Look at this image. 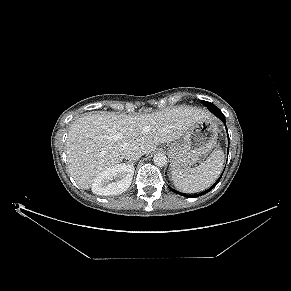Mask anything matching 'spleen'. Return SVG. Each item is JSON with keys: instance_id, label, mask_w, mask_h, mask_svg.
Returning <instances> with one entry per match:
<instances>
[{"instance_id": "spleen-1", "label": "spleen", "mask_w": 291, "mask_h": 291, "mask_svg": "<svg viewBox=\"0 0 291 291\" xmlns=\"http://www.w3.org/2000/svg\"><path fill=\"white\" fill-rule=\"evenodd\" d=\"M224 152L214 150L210 156L196 168L173 170L172 181L183 193H199L208 189L220 176L224 165Z\"/></svg>"}]
</instances>
